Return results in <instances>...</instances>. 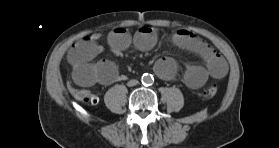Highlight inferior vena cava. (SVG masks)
Wrapping results in <instances>:
<instances>
[{
	"label": "inferior vena cava",
	"instance_id": "obj_1",
	"mask_svg": "<svg viewBox=\"0 0 279 148\" xmlns=\"http://www.w3.org/2000/svg\"><path fill=\"white\" fill-rule=\"evenodd\" d=\"M137 84H138V80H135V79L130 80V81L127 83L128 86H135V85H137Z\"/></svg>",
	"mask_w": 279,
	"mask_h": 148
}]
</instances>
